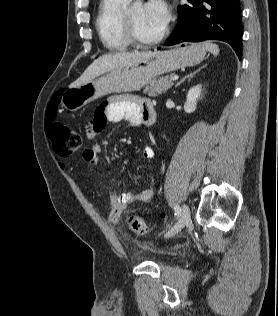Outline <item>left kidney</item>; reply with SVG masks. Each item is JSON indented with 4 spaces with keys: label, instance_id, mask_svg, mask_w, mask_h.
Returning a JSON list of instances; mask_svg holds the SVG:
<instances>
[{
    "label": "left kidney",
    "instance_id": "obj_1",
    "mask_svg": "<svg viewBox=\"0 0 278 316\" xmlns=\"http://www.w3.org/2000/svg\"><path fill=\"white\" fill-rule=\"evenodd\" d=\"M201 91V85H197L189 90L184 104V110L186 113H192L195 111L197 100L200 98Z\"/></svg>",
    "mask_w": 278,
    "mask_h": 316
}]
</instances>
